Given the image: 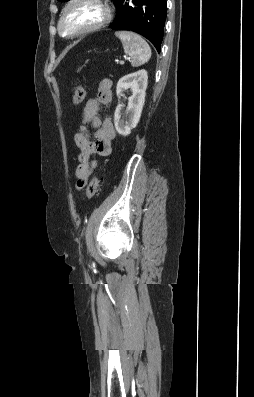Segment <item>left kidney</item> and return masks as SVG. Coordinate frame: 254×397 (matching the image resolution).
I'll use <instances>...</instances> for the list:
<instances>
[{
  "label": "left kidney",
  "mask_w": 254,
  "mask_h": 397,
  "mask_svg": "<svg viewBox=\"0 0 254 397\" xmlns=\"http://www.w3.org/2000/svg\"><path fill=\"white\" fill-rule=\"evenodd\" d=\"M147 81V71L142 69L123 76L117 83L116 92L119 99L126 90L130 89L131 91V96L128 98V105L125 111L126 118L121 119L122 108L120 105L116 107L114 113L115 128L121 136H128L139 122L145 102Z\"/></svg>",
  "instance_id": "left-kidney-1"
}]
</instances>
